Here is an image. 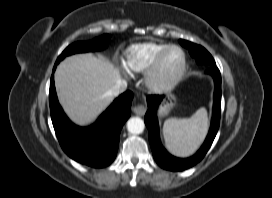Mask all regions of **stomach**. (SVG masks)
<instances>
[{
  "label": "stomach",
  "instance_id": "1",
  "mask_svg": "<svg viewBox=\"0 0 272 198\" xmlns=\"http://www.w3.org/2000/svg\"><path fill=\"white\" fill-rule=\"evenodd\" d=\"M177 105V98L175 95H170L169 98L161 105L158 115L159 117L163 118L168 116L171 111L176 107Z\"/></svg>",
  "mask_w": 272,
  "mask_h": 198
}]
</instances>
